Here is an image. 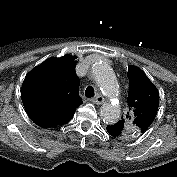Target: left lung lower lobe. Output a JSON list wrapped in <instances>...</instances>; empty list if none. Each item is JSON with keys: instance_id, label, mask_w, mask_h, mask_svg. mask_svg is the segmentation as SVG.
<instances>
[{"instance_id": "left-lung-lower-lobe-1", "label": "left lung lower lobe", "mask_w": 177, "mask_h": 177, "mask_svg": "<svg viewBox=\"0 0 177 177\" xmlns=\"http://www.w3.org/2000/svg\"><path fill=\"white\" fill-rule=\"evenodd\" d=\"M107 132L113 138H119L122 135V131H120L119 128L115 127V125H109L107 127Z\"/></svg>"}]
</instances>
